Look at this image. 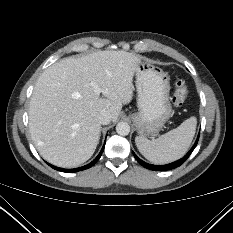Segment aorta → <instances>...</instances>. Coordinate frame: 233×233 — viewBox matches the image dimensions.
<instances>
[{
  "mask_svg": "<svg viewBox=\"0 0 233 233\" xmlns=\"http://www.w3.org/2000/svg\"><path fill=\"white\" fill-rule=\"evenodd\" d=\"M116 132L121 136H126L130 132V126L126 122H119L116 125Z\"/></svg>",
  "mask_w": 233,
  "mask_h": 233,
  "instance_id": "obj_1",
  "label": "aorta"
}]
</instances>
